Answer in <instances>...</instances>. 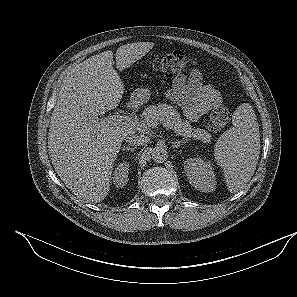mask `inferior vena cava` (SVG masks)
<instances>
[{
    "label": "inferior vena cava",
    "instance_id": "obj_1",
    "mask_svg": "<svg viewBox=\"0 0 297 297\" xmlns=\"http://www.w3.org/2000/svg\"><path fill=\"white\" fill-rule=\"evenodd\" d=\"M125 141L131 146H143L149 141V138L145 135L131 133L125 137Z\"/></svg>",
    "mask_w": 297,
    "mask_h": 297
}]
</instances>
